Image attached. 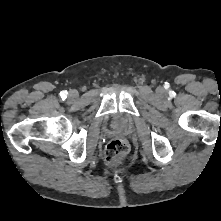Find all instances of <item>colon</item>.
Masks as SVG:
<instances>
[{
  "label": "colon",
  "mask_w": 221,
  "mask_h": 221,
  "mask_svg": "<svg viewBox=\"0 0 221 221\" xmlns=\"http://www.w3.org/2000/svg\"><path fill=\"white\" fill-rule=\"evenodd\" d=\"M128 144L120 139L111 141L105 149V162L108 166L115 167L121 164L124 156L128 152Z\"/></svg>",
  "instance_id": "5ec220e1"
}]
</instances>
